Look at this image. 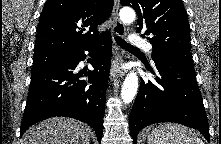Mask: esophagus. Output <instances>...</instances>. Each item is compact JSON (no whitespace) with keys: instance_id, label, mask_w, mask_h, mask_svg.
Wrapping results in <instances>:
<instances>
[{"instance_id":"obj_1","label":"esophagus","mask_w":221,"mask_h":144,"mask_svg":"<svg viewBox=\"0 0 221 144\" xmlns=\"http://www.w3.org/2000/svg\"><path fill=\"white\" fill-rule=\"evenodd\" d=\"M119 0H114L113 10H112V18H113V34L115 36L124 37L126 34L125 26L119 19ZM124 63L123 54L117 52L111 66V77H119L122 78L125 74L122 64Z\"/></svg>"}]
</instances>
